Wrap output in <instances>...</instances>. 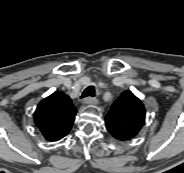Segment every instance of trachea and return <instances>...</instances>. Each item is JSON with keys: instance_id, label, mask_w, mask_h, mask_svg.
Wrapping results in <instances>:
<instances>
[{"instance_id": "obj_1", "label": "trachea", "mask_w": 184, "mask_h": 173, "mask_svg": "<svg viewBox=\"0 0 184 173\" xmlns=\"http://www.w3.org/2000/svg\"><path fill=\"white\" fill-rule=\"evenodd\" d=\"M88 96H91V97H94L95 96V87L94 86L87 87L83 91V93L81 95V98L88 97Z\"/></svg>"}]
</instances>
